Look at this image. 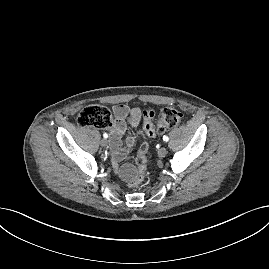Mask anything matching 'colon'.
<instances>
[{"mask_svg": "<svg viewBox=\"0 0 269 269\" xmlns=\"http://www.w3.org/2000/svg\"><path fill=\"white\" fill-rule=\"evenodd\" d=\"M183 113L173 107H165L161 110L157 121L154 122V113L152 111H144L143 129L147 136L153 137L157 133L177 126L183 119ZM112 116L109 109L102 105H88L84 107L78 117L77 123L83 127L106 128L111 125ZM146 144L142 143L136 158L138 170H136L130 178V185L139 186L143 181V167L145 165L144 153Z\"/></svg>", "mask_w": 269, "mask_h": 269, "instance_id": "obj_1", "label": "colon"}]
</instances>
